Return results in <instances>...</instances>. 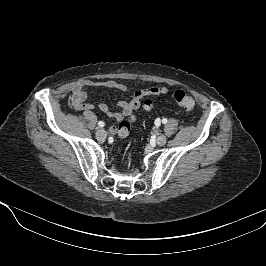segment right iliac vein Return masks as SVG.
I'll use <instances>...</instances> for the list:
<instances>
[{
	"instance_id": "right-iliac-vein-1",
	"label": "right iliac vein",
	"mask_w": 266,
	"mask_h": 266,
	"mask_svg": "<svg viewBox=\"0 0 266 266\" xmlns=\"http://www.w3.org/2000/svg\"><path fill=\"white\" fill-rule=\"evenodd\" d=\"M96 137L100 140H103L106 138V131L102 128H99L97 131H96Z\"/></svg>"
}]
</instances>
